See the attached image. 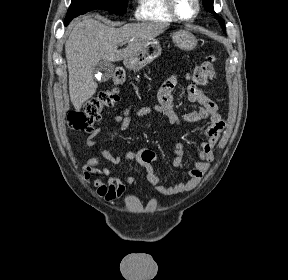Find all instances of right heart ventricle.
<instances>
[{
  "label": "right heart ventricle",
  "instance_id": "e07e8e85",
  "mask_svg": "<svg viewBox=\"0 0 288 280\" xmlns=\"http://www.w3.org/2000/svg\"><path fill=\"white\" fill-rule=\"evenodd\" d=\"M135 16L142 21L173 22L166 0H137Z\"/></svg>",
  "mask_w": 288,
  "mask_h": 280
}]
</instances>
